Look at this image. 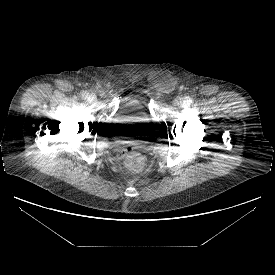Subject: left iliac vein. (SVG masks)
<instances>
[{
    "mask_svg": "<svg viewBox=\"0 0 275 275\" xmlns=\"http://www.w3.org/2000/svg\"><path fill=\"white\" fill-rule=\"evenodd\" d=\"M174 104L176 106H181L184 104V99L182 97H176L174 100Z\"/></svg>",
    "mask_w": 275,
    "mask_h": 275,
    "instance_id": "obj_1",
    "label": "left iliac vein"
}]
</instances>
